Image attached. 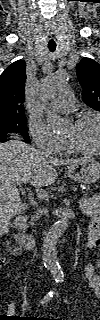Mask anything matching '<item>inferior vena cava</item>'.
I'll return each mask as SVG.
<instances>
[{"label":"inferior vena cava","mask_w":100,"mask_h":320,"mask_svg":"<svg viewBox=\"0 0 100 320\" xmlns=\"http://www.w3.org/2000/svg\"><path fill=\"white\" fill-rule=\"evenodd\" d=\"M38 211H39V213H43V212L45 213L46 212L44 209H39Z\"/></svg>","instance_id":"1"}]
</instances>
